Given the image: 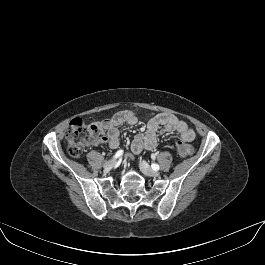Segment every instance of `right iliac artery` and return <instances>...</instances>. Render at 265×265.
Wrapping results in <instances>:
<instances>
[{
    "mask_svg": "<svg viewBox=\"0 0 265 265\" xmlns=\"http://www.w3.org/2000/svg\"><path fill=\"white\" fill-rule=\"evenodd\" d=\"M123 155V150H118L116 154L113 156V158H118Z\"/></svg>",
    "mask_w": 265,
    "mask_h": 265,
    "instance_id": "right-iliac-artery-1",
    "label": "right iliac artery"
}]
</instances>
